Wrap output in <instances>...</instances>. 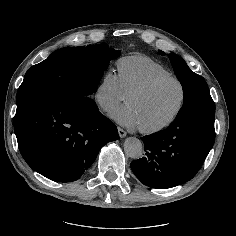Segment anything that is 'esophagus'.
Instances as JSON below:
<instances>
[{
  "label": "esophagus",
  "mask_w": 236,
  "mask_h": 236,
  "mask_svg": "<svg viewBox=\"0 0 236 236\" xmlns=\"http://www.w3.org/2000/svg\"><path fill=\"white\" fill-rule=\"evenodd\" d=\"M117 129H118L119 136H120L121 138L126 137V134H127V133L125 132V130H123V129L120 128V127H118Z\"/></svg>",
  "instance_id": "esophagus-1"
}]
</instances>
